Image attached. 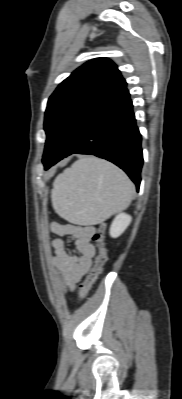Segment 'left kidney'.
I'll return each instance as SVG.
<instances>
[{
  "label": "left kidney",
  "instance_id": "1",
  "mask_svg": "<svg viewBox=\"0 0 182 399\" xmlns=\"http://www.w3.org/2000/svg\"><path fill=\"white\" fill-rule=\"evenodd\" d=\"M132 221V217L124 212L119 213L110 226L109 234L112 238H118L127 229Z\"/></svg>",
  "mask_w": 182,
  "mask_h": 399
}]
</instances>
